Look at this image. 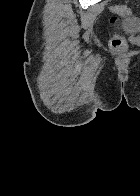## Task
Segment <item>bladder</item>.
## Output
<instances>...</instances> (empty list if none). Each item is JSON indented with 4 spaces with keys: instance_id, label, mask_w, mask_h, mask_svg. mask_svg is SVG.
Returning a JSON list of instances; mask_svg holds the SVG:
<instances>
[{
    "instance_id": "1",
    "label": "bladder",
    "mask_w": 140,
    "mask_h": 196,
    "mask_svg": "<svg viewBox=\"0 0 140 196\" xmlns=\"http://www.w3.org/2000/svg\"><path fill=\"white\" fill-rule=\"evenodd\" d=\"M127 27L129 30H133V31H136L138 30V23L136 21H130L128 24H127Z\"/></svg>"
}]
</instances>
